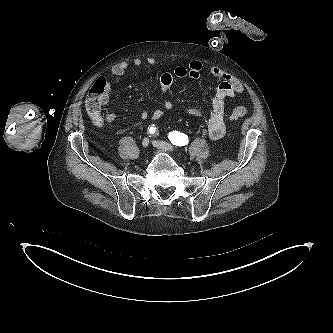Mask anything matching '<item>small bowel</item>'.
Returning a JSON list of instances; mask_svg holds the SVG:
<instances>
[{
	"mask_svg": "<svg viewBox=\"0 0 333 333\" xmlns=\"http://www.w3.org/2000/svg\"><path fill=\"white\" fill-rule=\"evenodd\" d=\"M145 62L148 65H154L156 60L153 57H148ZM144 61L140 58L133 60V65L140 67L143 65ZM129 68V63L126 61L120 62L114 65L111 69V74L116 77H121L125 75ZM202 71V63L198 60H192L188 65L177 66L173 73H165L160 78L161 90L165 95L171 92L173 78H184L190 77L192 79H197L200 77ZM210 74L219 80V84L216 88L214 97L212 99L211 110L208 114H205L203 110L198 107L188 106L184 108V111L190 115L203 116L206 119L207 134L211 139H220L226 133V127L224 122V106L225 101L228 98L234 97L237 93H242L244 91L243 85L231 74L224 71L219 67H212L210 69ZM105 96L104 105L108 103L110 97V83L105 81ZM173 108V103L168 100L164 103L163 109L165 111H170ZM164 110H156L152 113L154 119H159ZM149 112L144 110L140 114L141 120H146L149 117ZM118 116L115 113H108L105 116H101L98 119L93 120L94 124L99 128H104L106 124H109L111 128H114V124Z\"/></svg>",
	"mask_w": 333,
	"mask_h": 333,
	"instance_id": "1",
	"label": "small bowel"
}]
</instances>
